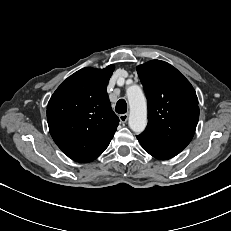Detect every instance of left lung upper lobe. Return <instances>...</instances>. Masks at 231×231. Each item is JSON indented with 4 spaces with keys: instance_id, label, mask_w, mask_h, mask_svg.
<instances>
[{
    "instance_id": "5c2ea615",
    "label": "left lung upper lobe",
    "mask_w": 231,
    "mask_h": 231,
    "mask_svg": "<svg viewBox=\"0 0 231 231\" xmlns=\"http://www.w3.org/2000/svg\"><path fill=\"white\" fill-rule=\"evenodd\" d=\"M137 72L148 101V124L141 135L181 152L192 140L199 119L193 86L161 60L139 65Z\"/></svg>"
}]
</instances>
